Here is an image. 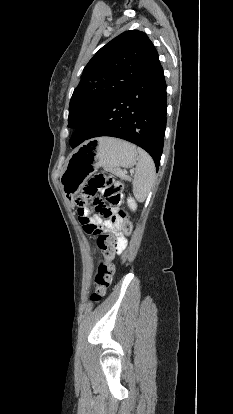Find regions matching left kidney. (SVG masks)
I'll list each match as a JSON object with an SVG mask.
<instances>
[{
	"mask_svg": "<svg viewBox=\"0 0 233 414\" xmlns=\"http://www.w3.org/2000/svg\"><path fill=\"white\" fill-rule=\"evenodd\" d=\"M127 204L132 211L137 209V203L131 196L127 199Z\"/></svg>",
	"mask_w": 233,
	"mask_h": 414,
	"instance_id": "1",
	"label": "left kidney"
}]
</instances>
